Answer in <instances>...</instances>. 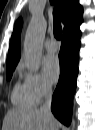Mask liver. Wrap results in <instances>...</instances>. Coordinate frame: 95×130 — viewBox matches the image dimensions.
<instances>
[{"mask_svg":"<svg viewBox=\"0 0 95 130\" xmlns=\"http://www.w3.org/2000/svg\"><path fill=\"white\" fill-rule=\"evenodd\" d=\"M3 130H59V122L40 109H11L5 115Z\"/></svg>","mask_w":95,"mask_h":130,"instance_id":"liver-1","label":"liver"}]
</instances>
